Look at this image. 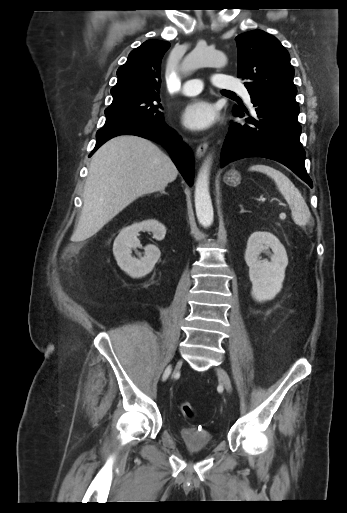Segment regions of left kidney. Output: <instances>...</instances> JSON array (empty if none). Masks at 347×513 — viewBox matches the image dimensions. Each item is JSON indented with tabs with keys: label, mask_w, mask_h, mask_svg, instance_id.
Returning <instances> with one entry per match:
<instances>
[{
	"label": "left kidney",
	"mask_w": 347,
	"mask_h": 513,
	"mask_svg": "<svg viewBox=\"0 0 347 513\" xmlns=\"http://www.w3.org/2000/svg\"><path fill=\"white\" fill-rule=\"evenodd\" d=\"M272 249L271 261L260 260L263 251ZM244 259L249 267L252 296L259 302L273 299L281 290L288 265L285 247L269 232H254L247 241Z\"/></svg>",
	"instance_id": "1"
}]
</instances>
